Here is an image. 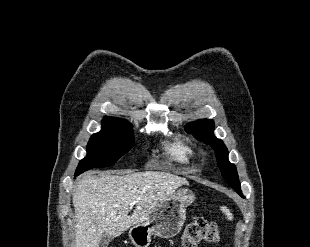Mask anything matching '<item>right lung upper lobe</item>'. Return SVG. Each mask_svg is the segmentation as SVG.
<instances>
[{
    "mask_svg": "<svg viewBox=\"0 0 310 247\" xmlns=\"http://www.w3.org/2000/svg\"><path fill=\"white\" fill-rule=\"evenodd\" d=\"M106 120H112V121H118V122H123V123H128L127 121L115 117H107ZM129 124V123H128Z\"/></svg>",
    "mask_w": 310,
    "mask_h": 247,
    "instance_id": "right-lung-upper-lobe-1",
    "label": "right lung upper lobe"
}]
</instances>
